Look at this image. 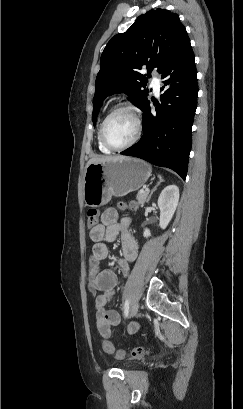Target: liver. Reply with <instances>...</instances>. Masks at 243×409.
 <instances>
[{
    "label": "liver",
    "instance_id": "liver-1",
    "mask_svg": "<svg viewBox=\"0 0 243 409\" xmlns=\"http://www.w3.org/2000/svg\"><path fill=\"white\" fill-rule=\"evenodd\" d=\"M121 157H122V156H116V157H95V158L90 159V160L88 161V164H87V165H89V164H91V163L107 162V161H111V160L118 159V158H121Z\"/></svg>",
    "mask_w": 243,
    "mask_h": 409
}]
</instances>
